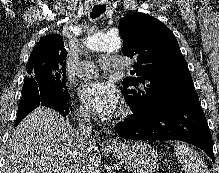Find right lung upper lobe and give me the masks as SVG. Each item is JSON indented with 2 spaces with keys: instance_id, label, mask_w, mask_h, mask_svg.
Listing matches in <instances>:
<instances>
[{
  "instance_id": "cb5924a9",
  "label": "right lung upper lobe",
  "mask_w": 219,
  "mask_h": 173,
  "mask_svg": "<svg viewBox=\"0 0 219 173\" xmlns=\"http://www.w3.org/2000/svg\"><path fill=\"white\" fill-rule=\"evenodd\" d=\"M67 51L64 49L63 37L59 34L43 36L34 46L29 61L58 64L66 69Z\"/></svg>"
}]
</instances>
